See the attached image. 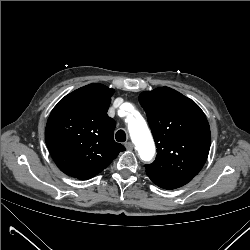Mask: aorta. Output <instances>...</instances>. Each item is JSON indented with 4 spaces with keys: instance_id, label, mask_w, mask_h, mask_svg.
<instances>
[{
    "instance_id": "obj_1",
    "label": "aorta",
    "mask_w": 250,
    "mask_h": 250,
    "mask_svg": "<svg viewBox=\"0 0 250 250\" xmlns=\"http://www.w3.org/2000/svg\"><path fill=\"white\" fill-rule=\"evenodd\" d=\"M128 129L140 158L150 161L155 153V145L146 123L140 118L138 122H130Z\"/></svg>"
}]
</instances>
